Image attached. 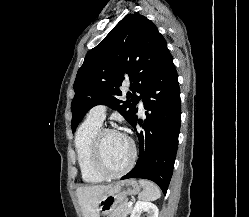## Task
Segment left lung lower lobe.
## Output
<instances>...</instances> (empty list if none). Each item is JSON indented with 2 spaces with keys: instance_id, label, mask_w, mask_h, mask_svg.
I'll return each instance as SVG.
<instances>
[{
  "instance_id": "left-lung-lower-lobe-1",
  "label": "left lung lower lobe",
  "mask_w": 249,
  "mask_h": 217,
  "mask_svg": "<svg viewBox=\"0 0 249 217\" xmlns=\"http://www.w3.org/2000/svg\"><path fill=\"white\" fill-rule=\"evenodd\" d=\"M177 77L170 54L141 96L144 108L148 110L145 112V121L139 120L143 129L139 132L136 130V115L130 123L138 136L139 158L135 167L122 177L151 180L164 194L173 173L181 122Z\"/></svg>"
}]
</instances>
